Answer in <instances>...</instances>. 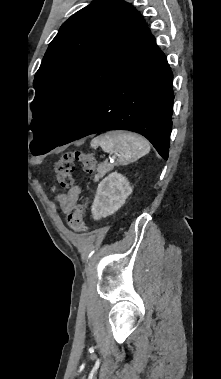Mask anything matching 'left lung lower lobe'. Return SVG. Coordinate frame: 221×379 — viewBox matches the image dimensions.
<instances>
[{"mask_svg": "<svg viewBox=\"0 0 221 379\" xmlns=\"http://www.w3.org/2000/svg\"><path fill=\"white\" fill-rule=\"evenodd\" d=\"M172 80L166 56L151 36L57 146L94 133L129 130L145 136L168 159L174 100Z\"/></svg>", "mask_w": 221, "mask_h": 379, "instance_id": "left-lung-lower-lobe-1", "label": "left lung lower lobe"}]
</instances>
